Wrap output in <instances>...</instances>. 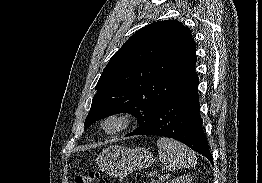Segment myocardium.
Returning a JSON list of instances; mask_svg holds the SVG:
<instances>
[{"label":"myocardium","mask_w":262,"mask_h":183,"mask_svg":"<svg viewBox=\"0 0 262 183\" xmlns=\"http://www.w3.org/2000/svg\"><path fill=\"white\" fill-rule=\"evenodd\" d=\"M108 122H114L113 128H107ZM135 122L134 115L129 111L110 112L102 117L99 126L107 135H116L129 129Z\"/></svg>","instance_id":"obj_1"}]
</instances>
